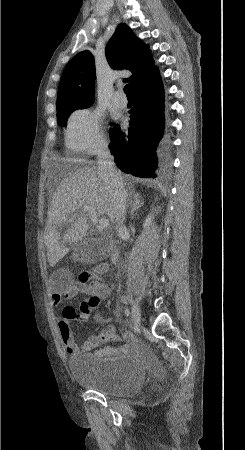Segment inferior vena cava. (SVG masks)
<instances>
[{"mask_svg": "<svg viewBox=\"0 0 245 450\" xmlns=\"http://www.w3.org/2000/svg\"><path fill=\"white\" fill-rule=\"evenodd\" d=\"M98 174L105 182L113 204L118 222L117 232L122 234L126 228L123 225L126 213L127 192L121 175L114 167V157L107 146H103L97 154Z\"/></svg>", "mask_w": 245, "mask_h": 450, "instance_id": "1", "label": "inferior vena cava"}]
</instances>
